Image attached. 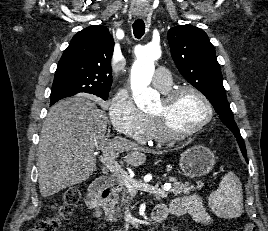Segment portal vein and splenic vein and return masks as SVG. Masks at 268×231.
<instances>
[{"label":"portal vein and splenic vein","instance_id":"18ae733b","mask_svg":"<svg viewBox=\"0 0 268 231\" xmlns=\"http://www.w3.org/2000/svg\"><path fill=\"white\" fill-rule=\"evenodd\" d=\"M100 162L108 169L110 172L122 183L129 191H144L155 196L166 198L168 195V190L170 186H164L159 188V185H150L147 183L139 182L134 180L128 173L121 167V165L115 160V155L103 153L100 156Z\"/></svg>","mask_w":268,"mask_h":231}]
</instances>
